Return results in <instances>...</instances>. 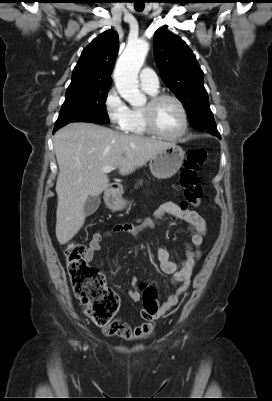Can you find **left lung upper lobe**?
I'll list each match as a JSON object with an SVG mask.
<instances>
[{
	"instance_id": "obj_1",
	"label": "left lung upper lobe",
	"mask_w": 272,
	"mask_h": 401,
	"mask_svg": "<svg viewBox=\"0 0 272 401\" xmlns=\"http://www.w3.org/2000/svg\"><path fill=\"white\" fill-rule=\"evenodd\" d=\"M154 57L162 80L183 103L191 126L215 129L204 74L187 44L167 29H158L154 35Z\"/></svg>"
}]
</instances>
